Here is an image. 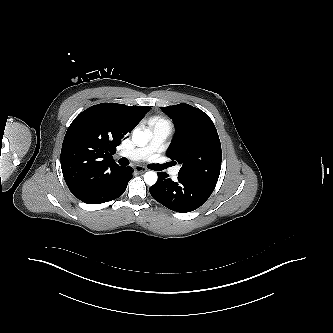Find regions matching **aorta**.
<instances>
[{
  "label": "aorta",
  "instance_id": "762f6f07",
  "mask_svg": "<svg viewBox=\"0 0 333 333\" xmlns=\"http://www.w3.org/2000/svg\"><path fill=\"white\" fill-rule=\"evenodd\" d=\"M132 141L139 147L148 143V134L140 129H135L132 135ZM144 181L147 185H154L157 181V174L154 171H148L144 174Z\"/></svg>",
  "mask_w": 333,
  "mask_h": 333
}]
</instances>
